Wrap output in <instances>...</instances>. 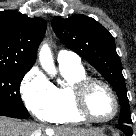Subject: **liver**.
<instances>
[{
	"label": "liver",
	"instance_id": "1",
	"mask_svg": "<svg viewBox=\"0 0 136 136\" xmlns=\"http://www.w3.org/2000/svg\"><path fill=\"white\" fill-rule=\"evenodd\" d=\"M42 134H47V136H104L100 129L58 128L54 130L36 123L0 117V136H43Z\"/></svg>",
	"mask_w": 136,
	"mask_h": 136
}]
</instances>
